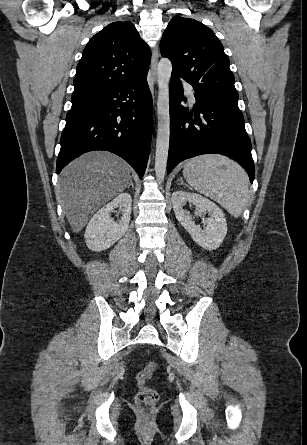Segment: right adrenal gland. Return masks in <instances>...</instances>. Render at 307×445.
I'll return each instance as SVG.
<instances>
[{"mask_svg": "<svg viewBox=\"0 0 307 445\" xmlns=\"http://www.w3.org/2000/svg\"><path fill=\"white\" fill-rule=\"evenodd\" d=\"M129 178H130V184H128L127 188H130V186H132V188H135V186L133 184L132 176H129Z\"/></svg>", "mask_w": 307, "mask_h": 445, "instance_id": "obj_1", "label": "right adrenal gland"}]
</instances>
